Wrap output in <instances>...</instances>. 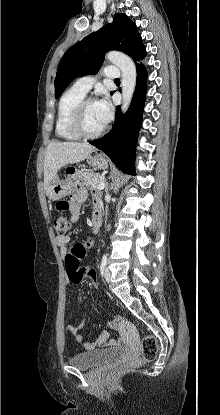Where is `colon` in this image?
<instances>
[{
    "mask_svg": "<svg viewBox=\"0 0 220 415\" xmlns=\"http://www.w3.org/2000/svg\"><path fill=\"white\" fill-rule=\"evenodd\" d=\"M69 203L65 200L57 202L58 210H65ZM70 228V222L66 216H57L54 219V229L58 235H65ZM88 245L85 242H77L65 255V264L68 278L73 284H80L84 280L94 283V271L80 266V261L87 253ZM158 352V344L153 336H146L141 343V356L130 359L124 364L127 369H136L145 362L153 360Z\"/></svg>",
    "mask_w": 220,
    "mask_h": 415,
    "instance_id": "obj_1",
    "label": "colon"
}]
</instances>
